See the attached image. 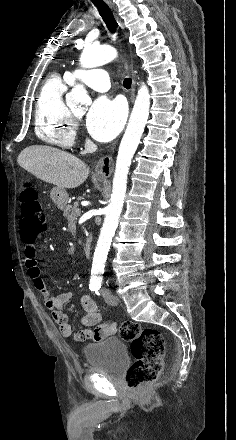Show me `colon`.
<instances>
[{
	"label": "colon",
	"mask_w": 236,
	"mask_h": 440,
	"mask_svg": "<svg viewBox=\"0 0 236 440\" xmlns=\"http://www.w3.org/2000/svg\"><path fill=\"white\" fill-rule=\"evenodd\" d=\"M21 217L20 231L23 241H33L47 228L42 202L38 192L25 187L20 193ZM131 344L134 357L133 364L126 374V383L133 390L139 389L146 383L158 378L163 369L165 353L164 340L161 333L154 328H142L135 322H124L113 330ZM96 340V339H93Z\"/></svg>",
	"instance_id": "colon-1"
}]
</instances>
